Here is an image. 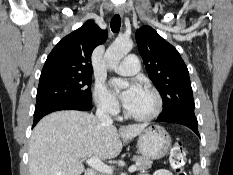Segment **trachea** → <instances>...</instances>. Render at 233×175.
Wrapping results in <instances>:
<instances>
[{
	"instance_id": "trachea-1",
	"label": "trachea",
	"mask_w": 233,
	"mask_h": 175,
	"mask_svg": "<svg viewBox=\"0 0 233 175\" xmlns=\"http://www.w3.org/2000/svg\"><path fill=\"white\" fill-rule=\"evenodd\" d=\"M120 26H121V18L117 14L111 20V30H112V32H114V33L118 32L120 30Z\"/></svg>"
}]
</instances>
